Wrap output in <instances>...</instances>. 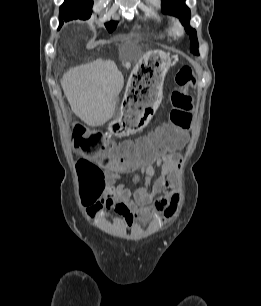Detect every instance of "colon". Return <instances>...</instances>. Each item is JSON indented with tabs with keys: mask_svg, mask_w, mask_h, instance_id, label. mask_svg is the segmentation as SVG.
<instances>
[{
	"mask_svg": "<svg viewBox=\"0 0 261 306\" xmlns=\"http://www.w3.org/2000/svg\"><path fill=\"white\" fill-rule=\"evenodd\" d=\"M175 82L177 88L170 97V121L140 139L137 144L123 143L116 152L108 133L90 132L82 125L74 126L73 146L82 154L76 163V170L82 188L89 197H97L104 192V169L118 170L148 164L180 146L192 119L193 100L189 92L196 82L192 68H180L175 75ZM120 131L121 127H118L114 134Z\"/></svg>",
	"mask_w": 261,
	"mask_h": 306,
	"instance_id": "5ec220e1",
	"label": "colon"
}]
</instances>
